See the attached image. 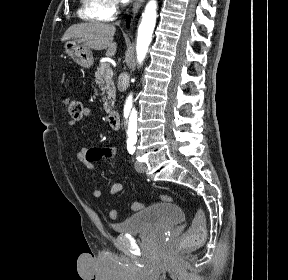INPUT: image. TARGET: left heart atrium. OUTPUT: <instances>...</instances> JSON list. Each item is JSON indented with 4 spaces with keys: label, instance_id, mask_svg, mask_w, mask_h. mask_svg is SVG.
<instances>
[{
    "label": "left heart atrium",
    "instance_id": "1",
    "mask_svg": "<svg viewBox=\"0 0 288 280\" xmlns=\"http://www.w3.org/2000/svg\"><path fill=\"white\" fill-rule=\"evenodd\" d=\"M123 1L128 2V1H130V0H123Z\"/></svg>",
    "mask_w": 288,
    "mask_h": 280
}]
</instances>
